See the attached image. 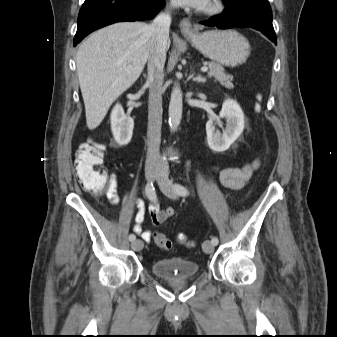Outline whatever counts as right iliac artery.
I'll return each instance as SVG.
<instances>
[{"mask_svg":"<svg viewBox=\"0 0 337 337\" xmlns=\"http://www.w3.org/2000/svg\"><path fill=\"white\" fill-rule=\"evenodd\" d=\"M145 193L146 196L153 202L157 200L155 188L152 183H148L145 187ZM136 239V236L134 234L129 235V240L132 242Z\"/></svg>","mask_w":337,"mask_h":337,"instance_id":"right-iliac-artery-1","label":"right iliac artery"}]
</instances>
